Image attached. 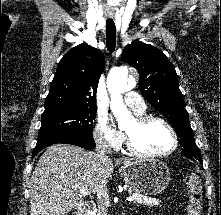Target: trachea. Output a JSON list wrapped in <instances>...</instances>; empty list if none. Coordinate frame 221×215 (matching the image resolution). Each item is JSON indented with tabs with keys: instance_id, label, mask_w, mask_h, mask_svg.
I'll return each instance as SVG.
<instances>
[{
	"instance_id": "1",
	"label": "trachea",
	"mask_w": 221,
	"mask_h": 215,
	"mask_svg": "<svg viewBox=\"0 0 221 215\" xmlns=\"http://www.w3.org/2000/svg\"><path fill=\"white\" fill-rule=\"evenodd\" d=\"M106 46L110 53L114 52L116 47V28L112 19L106 21Z\"/></svg>"
}]
</instances>
